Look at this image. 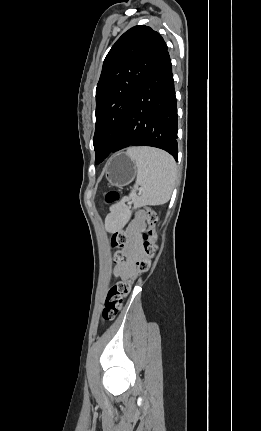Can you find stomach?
I'll list each match as a JSON object with an SVG mask.
<instances>
[{"mask_svg": "<svg viewBox=\"0 0 261 431\" xmlns=\"http://www.w3.org/2000/svg\"><path fill=\"white\" fill-rule=\"evenodd\" d=\"M137 174V167L133 160L125 153L114 155L106 167V179L110 185L122 187L133 181Z\"/></svg>", "mask_w": 261, "mask_h": 431, "instance_id": "0dacf381", "label": "stomach"}]
</instances>
